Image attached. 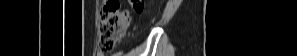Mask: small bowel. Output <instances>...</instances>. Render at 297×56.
<instances>
[{
	"label": "small bowel",
	"instance_id": "c3829d8e",
	"mask_svg": "<svg viewBox=\"0 0 297 56\" xmlns=\"http://www.w3.org/2000/svg\"><path fill=\"white\" fill-rule=\"evenodd\" d=\"M98 56H103V54H98Z\"/></svg>",
	"mask_w": 297,
	"mask_h": 56
}]
</instances>
